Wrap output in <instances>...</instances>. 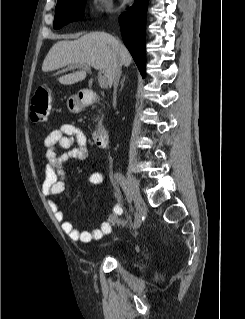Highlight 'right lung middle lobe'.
Listing matches in <instances>:
<instances>
[{
	"mask_svg": "<svg viewBox=\"0 0 245 319\" xmlns=\"http://www.w3.org/2000/svg\"><path fill=\"white\" fill-rule=\"evenodd\" d=\"M85 0H58L53 27L59 29L83 16Z\"/></svg>",
	"mask_w": 245,
	"mask_h": 319,
	"instance_id": "obj_1",
	"label": "right lung middle lobe"
}]
</instances>
